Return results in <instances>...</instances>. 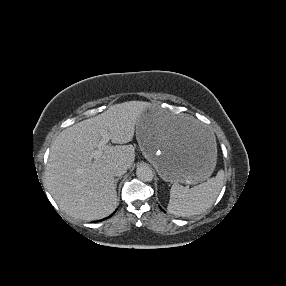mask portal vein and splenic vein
I'll use <instances>...</instances> for the list:
<instances>
[{
    "label": "portal vein and splenic vein",
    "mask_w": 286,
    "mask_h": 286,
    "mask_svg": "<svg viewBox=\"0 0 286 286\" xmlns=\"http://www.w3.org/2000/svg\"><path fill=\"white\" fill-rule=\"evenodd\" d=\"M100 134L102 136V139L98 144V148L91 152V157L93 159H98L102 155L103 150L105 149V147L107 146V143L111 139L110 134L106 130H102Z\"/></svg>",
    "instance_id": "18ae733b"
}]
</instances>
